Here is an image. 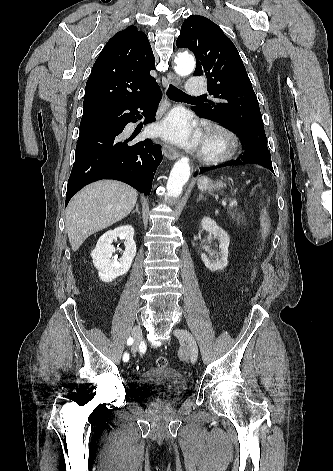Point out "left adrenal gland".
<instances>
[{"mask_svg":"<svg viewBox=\"0 0 333 471\" xmlns=\"http://www.w3.org/2000/svg\"><path fill=\"white\" fill-rule=\"evenodd\" d=\"M200 200H205V198L203 197L202 194H199V197H198V200H197V201H200Z\"/></svg>","mask_w":333,"mask_h":471,"instance_id":"left-adrenal-gland-1","label":"left adrenal gland"}]
</instances>
